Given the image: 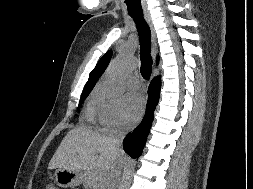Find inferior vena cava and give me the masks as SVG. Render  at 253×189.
<instances>
[{
  "label": "inferior vena cava",
  "instance_id": "obj_1",
  "mask_svg": "<svg viewBox=\"0 0 253 189\" xmlns=\"http://www.w3.org/2000/svg\"><path fill=\"white\" fill-rule=\"evenodd\" d=\"M124 138V132L119 131L116 132L111 137V144L115 151H117V156L120 160V162H117L108 173L107 177L104 180L103 188L106 189H116L117 183L119 181L121 170L123 165H127L129 163V158L127 156V153L124 149L121 148L122 141Z\"/></svg>",
  "mask_w": 253,
  "mask_h": 189
}]
</instances>
